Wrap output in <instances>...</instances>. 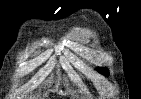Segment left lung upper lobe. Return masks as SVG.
Instances as JSON below:
<instances>
[{"label": "left lung upper lobe", "instance_id": "1", "mask_svg": "<svg viewBox=\"0 0 141 99\" xmlns=\"http://www.w3.org/2000/svg\"><path fill=\"white\" fill-rule=\"evenodd\" d=\"M98 72L104 75H108V69L107 68H98Z\"/></svg>", "mask_w": 141, "mask_h": 99}]
</instances>
